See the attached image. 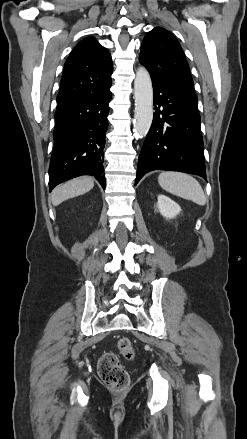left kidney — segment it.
Segmentation results:
<instances>
[{"mask_svg":"<svg viewBox=\"0 0 247 439\" xmlns=\"http://www.w3.org/2000/svg\"><path fill=\"white\" fill-rule=\"evenodd\" d=\"M157 208L166 219H172L181 212V207L176 202L162 194L158 196Z\"/></svg>","mask_w":247,"mask_h":439,"instance_id":"1","label":"left kidney"}]
</instances>
